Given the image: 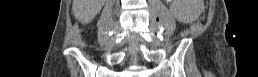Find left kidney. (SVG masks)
<instances>
[{
    "instance_id": "5707ae66",
    "label": "left kidney",
    "mask_w": 258,
    "mask_h": 77,
    "mask_svg": "<svg viewBox=\"0 0 258 77\" xmlns=\"http://www.w3.org/2000/svg\"><path fill=\"white\" fill-rule=\"evenodd\" d=\"M176 6L173 8V14L180 22L188 23L194 21L195 15L188 6V0H176Z\"/></svg>"
}]
</instances>
